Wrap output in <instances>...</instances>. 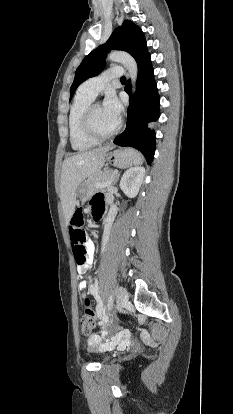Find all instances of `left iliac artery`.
<instances>
[{
	"label": "left iliac artery",
	"mask_w": 233,
	"mask_h": 414,
	"mask_svg": "<svg viewBox=\"0 0 233 414\" xmlns=\"http://www.w3.org/2000/svg\"><path fill=\"white\" fill-rule=\"evenodd\" d=\"M112 306H113V296L110 295L109 299H108V310H111ZM96 310H97L98 315H101V311H102V304L101 303L99 305H97Z\"/></svg>",
	"instance_id": "1"
}]
</instances>
